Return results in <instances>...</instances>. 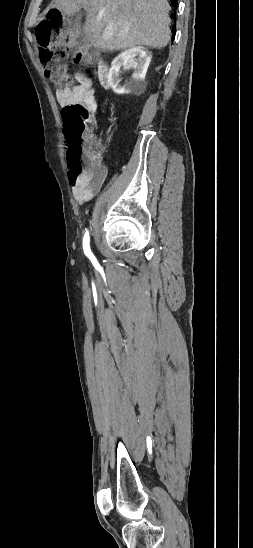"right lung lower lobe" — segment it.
I'll list each match as a JSON object with an SVG mask.
<instances>
[{"label": "right lung lower lobe", "instance_id": "obj_1", "mask_svg": "<svg viewBox=\"0 0 253 548\" xmlns=\"http://www.w3.org/2000/svg\"><path fill=\"white\" fill-rule=\"evenodd\" d=\"M171 2H172V4H173V6H174L175 8H177V0H171Z\"/></svg>", "mask_w": 253, "mask_h": 548}]
</instances>
